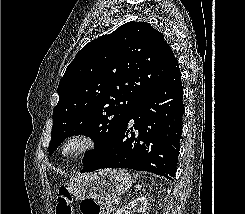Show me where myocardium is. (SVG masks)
<instances>
[{
    "label": "myocardium",
    "instance_id": "1",
    "mask_svg": "<svg viewBox=\"0 0 245 214\" xmlns=\"http://www.w3.org/2000/svg\"><path fill=\"white\" fill-rule=\"evenodd\" d=\"M96 144V138L92 134L77 132L62 141L58 152L65 158L77 157L91 151Z\"/></svg>",
    "mask_w": 245,
    "mask_h": 214
}]
</instances>
